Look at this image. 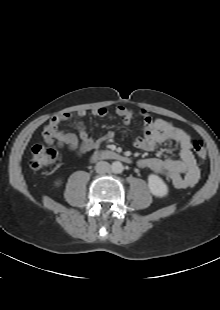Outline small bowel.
<instances>
[{
	"instance_id": "c3829d8e",
	"label": "small bowel",
	"mask_w": 220,
	"mask_h": 310,
	"mask_svg": "<svg viewBox=\"0 0 220 310\" xmlns=\"http://www.w3.org/2000/svg\"><path fill=\"white\" fill-rule=\"evenodd\" d=\"M86 111L79 110L75 113L65 112L55 115L49 120L42 131L43 140L52 145L67 148L77 156L98 149L102 144L110 142L115 137V131L109 130L102 137H91L85 124L80 121L77 124L78 135L66 133L60 130L63 121L71 120L75 116L84 117ZM111 113L106 108H97L92 115L104 118ZM113 114L119 116L124 124H128L134 117V110L124 106H118ZM139 115L144 121V133L135 141V146L145 151H153L164 141L172 140L179 145V159L146 158L140 161L142 168H147L155 173L165 176L174 187L183 189L194 186L200 178V170L192 151L190 135L182 128L163 119H154L152 114L144 108L139 110Z\"/></svg>"
}]
</instances>
